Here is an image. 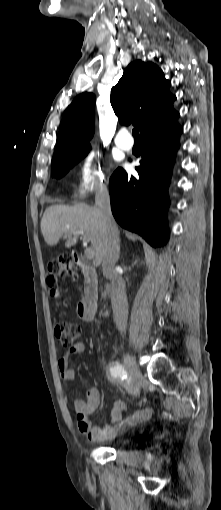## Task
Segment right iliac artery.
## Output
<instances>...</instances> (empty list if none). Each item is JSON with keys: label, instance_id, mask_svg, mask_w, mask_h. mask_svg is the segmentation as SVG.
<instances>
[{"label": "right iliac artery", "instance_id": "1", "mask_svg": "<svg viewBox=\"0 0 221 510\" xmlns=\"http://www.w3.org/2000/svg\"><path fill=\"white\" fill-rule=\"evenodd\" d=\"M110 374L112 375V377L118 378L120 380H124L127 378L126 370L118 362H114L113 365L110 367Z\"/></svg>", "mask_w": 221, "mask_h": 510}]
</instances>
